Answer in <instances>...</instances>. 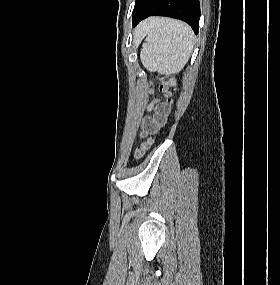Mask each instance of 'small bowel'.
Instances as JSON below:
<instances>
[{
  "instance_id": "c3829d8e",
  "label": "small bowel",
  "mask_w": 280,
  "mask_h": 285,
  "mask_svg": "<svg viewBox=\"0 0 280 285\" xmlns=\"http://www.w3.org/2000/svg\"><path fill=\"white\" fill-rule=\"evenodd\" d=\"M152 109V107H150ZM156 113L152 119H149L145 122L144 129L146 132H148V129L153 124H159V122H162L167 114V110L162 104L156 105Z\"/></svg>"
}]
</instances>
